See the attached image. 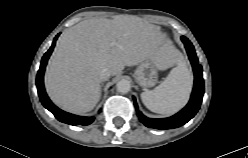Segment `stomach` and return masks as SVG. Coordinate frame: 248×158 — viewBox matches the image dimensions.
Returning a JSON list of instances; mask_svg holds the SVG:
<instances>
[{
    "instance_id": "stomach-1",
    "label": "stomach",
    "mask_w": 248,
    "mask_h": 158,
    "mask_svg": "<svg viewBox=\"0 0 248 158\" xmlns=\"http://www.w3.org/2000/svg\"><path fill=\"white\" fill-rule=\"evenodd\" d=\"M172 63L173 59L171 55L164 56L160 63L145 60L141 62L135 70L134 78L144 90H148L156 85L158 81V70L167 69Z\"/></svg>"
}]
</instances>
